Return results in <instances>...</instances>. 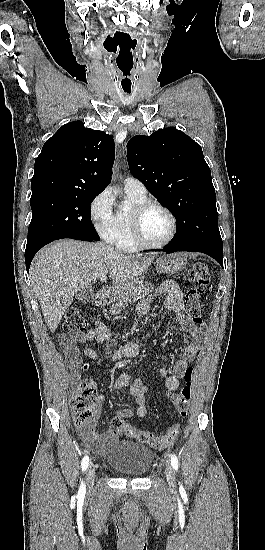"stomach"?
Listing matches in <instances>:
<instances>
[{
    "mask_svg": "<svg viewBox=\"0 0 265 550\" xmlns=\"http://www.w3.org/2000/svg\"><path fill=\"white\" fill-rule=\"evenodd\" d=\"M186 264L187 260L180 254L165 255L157 259L156 269L159 273L175 274L182 271L186 267ZM136 283L137 279L130 283L127 289L134 286Z\"/></svg>",
    "mask_w": 265,
    "mask_h": 550,
    "instance_id": "1",
    "label": "stomach"
}]
</instances>
